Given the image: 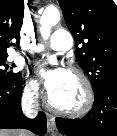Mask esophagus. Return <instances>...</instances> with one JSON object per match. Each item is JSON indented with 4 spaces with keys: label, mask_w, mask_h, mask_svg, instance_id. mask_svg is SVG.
<instances>
[{
    "label": "esophagus",
    "mask_w": 117,
    "mask_h": 136,
    "mask_svg": "<svg viewBox=\"0 0 117 136\" xmlns=\"http://www.w3.org/2000/svg\"><path fill=\"white\" fill-rule=\"evenodd\" d=\"M47 130L48 132H54L55 129V118L52 114L47 113Z\"/></svg>",
    "instance_id": "esophagus-1"
}]
</instances>
